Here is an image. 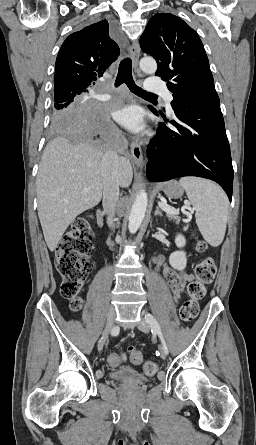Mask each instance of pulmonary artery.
<instances>
[{
	"mask_svg": "<svg viewBox=\"0 0 256 445\" xmlns=\"http://www.w3.org/2000/svg\"><path fill=\"white\" fill-rule=\"evenodd\" d=\"M146 90L148 92H160L163 93L166 97V102L168 105L172 102V95L169 93L166 89L165 83L158 77H150L147 79L146 83ZM104 100H107L110 98L109 95H103L102 96Z\"/></svg>",
	"mask_w": 256,
	"mask_h": 445,
	"instance_id": "e3ab8cb5",
	"label": "pulmonary artery"
}]
</instances>
